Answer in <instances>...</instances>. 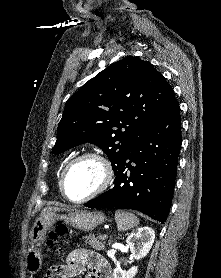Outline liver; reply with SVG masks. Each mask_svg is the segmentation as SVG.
Instances as JSON below:
<instances>
[{
	"label": "liver",
	"instance_id": "liver-1",
	"mask_svg": "<svg viewBox=\"0 0 221 278\" xmlns=\"http://www.w3.org/2000/svg\"><path fill=\"white\" fill-rule=\"evenodd\" d=\"M59 208L56 207H46L42 210L41 214H45V213H51V212H55V211H59Z\"/></svg>",
	"mask_w": 221,
	"mask_h": 278
}]
</instances>
